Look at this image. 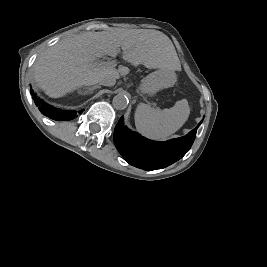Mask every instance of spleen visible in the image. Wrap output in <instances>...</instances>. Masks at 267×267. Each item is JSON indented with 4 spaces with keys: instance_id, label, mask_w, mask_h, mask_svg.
<instances>
[{
    "instance_id": "1",
    "label": "spleen",
    "mask_w": 267,
    "mask_h": 267,
    "mask_svg": "<svg viewBox=\"0 0 267 267\" xmlns=\"http://www.w3.org/2000/svg\"><path fill=\"white\" fill-rule=\"evenodd\" d=\"M188 116L189 108L185 100L163 110L140 103L135 111V126L148 139L165 141L184 125Z\"/></svg>"
}]
</instances>
